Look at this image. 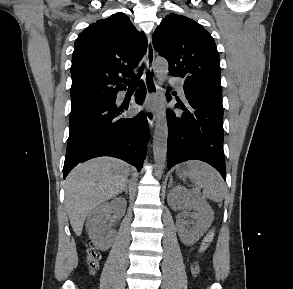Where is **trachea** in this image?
<instances>
[{"instance_id":"trachea-1","label":"trachea","mask_w":293,"mask_h":289,"mask_svg":"<svg viewBox=\"0 0 293 289\" xmlns=\"http://www.w3.org/2000/svg\"><path fill=\"white\" fill-rule=\"evenodd\" d=\"M143 68H144V65L141 67V71L134 78H132L131 80H123V83H126L129 86V88L136 87L138 80L142 75Z\"/></svg>"}]
</instances>
